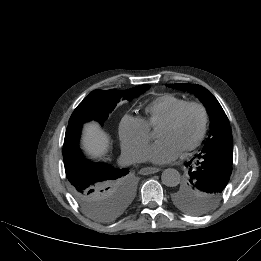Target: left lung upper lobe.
Returning <instances> with one entry per match:
<instances>
[{
    "instance_id": "1",
    "label": "left lung upper lobe",
    "mask_w": 261,
    "mask_h": 261,
    "mask_svg": "<svg viewBox=\"0 0 261 261\" xmlns=\"http://www.w3.org/2000/svg\"><path fill=\"white\" fill-rule=\"evenodd\" d=\"M166 86L195 94L210 117V134L204 148L186 164L188 176L172 194L178 208L201 216L219 203L230 179L233 139L229 120L217 99L204 87L188 83Z\"/></svg>"
}]
</instances>
